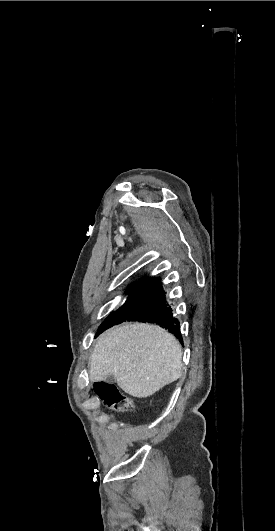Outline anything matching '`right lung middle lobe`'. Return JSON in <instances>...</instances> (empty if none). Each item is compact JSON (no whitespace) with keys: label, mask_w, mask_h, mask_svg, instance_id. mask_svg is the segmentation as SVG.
Masks as SVG:
<instances>
[{"label":"right lung middle lobe","mask_w":275,"mask_h":531,"mask_svg":"<svg viewBox=\"0 0 275 531\" xmlns=\"http://www.w3.org/2000/svg\"><path fill=\"white\" fill-rule=\"evenodd\" d=\"M131 286H132V284H131V285H129L128 289H129V288H131Z\"/></svg>","instance_id":"dd1d6c3e"}]
</instances>
